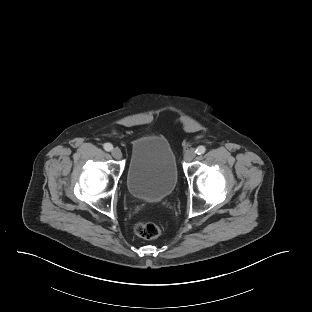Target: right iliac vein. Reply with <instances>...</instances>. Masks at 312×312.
<instances>
[{
    "label": "right iliac vein",
    "instance_id": "1",
    "mask_svg": "<svg viewBox=\"0 0 312 312\" xmlns=\"http://www.w3.org/2000/svg\"><path fill=\"white\" fill-rule=\"evenodd\" d=\"M111 154L115 159H121L122 157V152L119 148L112 149Z\"/></svg>",
    "mask_w": 312,
    "mask_h": 312
}]
</instances>
